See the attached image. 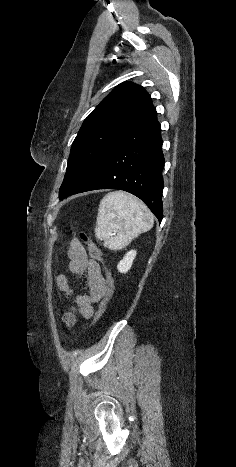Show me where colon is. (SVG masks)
Returning <instances> with one entry per match:
<instances>
[{
  "label": "colon",
  "instance_id": "obj_1",
  "mask_svg": "<svg viewBox=\"0 0 236 467\" xmlns=\"http://www.w3.org/2000/svg\"><path fill=\"white\" fill-rule=\"evenodd\" d=\"M79 237H80L81 241L84 244H86L91 257L102 262V254H101L99 248L92 242L90 236L87 233L81 232L79 234ZM106 285H107V294L105 295V297L101 301L99 309H98V311H97V313H96V315L94 317V320H93L91 326L94 325L101 318V316L103 315V313H104V311L106 309L107 302H108V300H109V298H110V296L112 294L113 278H112L111 273L108 270H106Z\"/></svg>",
  "mask_w": 236,
  "mask_h": 467
}]
</instances>
